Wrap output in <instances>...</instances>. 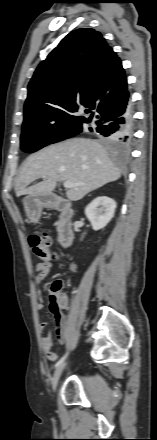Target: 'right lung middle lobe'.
Returning <instances> with one entry per match:
<instances>
[{
	"instance_id": "1",
	"label": "right lung middle lobe",
	"mask_w": 157,
	"mask_h": 440,
	"mask_svg": "<svg viewBox=\"0 0 157 440\" xmlns=\"http://www.w3.org/2000/svg\"><path fill=\"white\" fill-rule=\"evenodd\" d=\"M81 130V125L31 121L23 124L20 138L21 149L24 152L32 153L46 145L73 137L80 133ZM105 139L113 142L110 138Z\"/></svg>"
}]
</instances>
